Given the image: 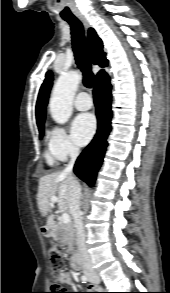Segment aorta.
I'll use <instances>...</instances> for the list:
<instances>
[{
    "label": "aorta",
    "mask_w": 170,
    "mask_h": 293,
    "mask_svg": "<svg viewBox=\"0 0 170 293\" xmlns=\"http://www.w3.org/2000/svg\"><path fill=\"white\" fill-rule=\"evenodd\" d=\"M82 75L77 72H69L61 75L54 85L49 102L50 113L58 124H64L72 115V102Z\"/></svg>",
    "instance_id": "1"
}]
</instances>
